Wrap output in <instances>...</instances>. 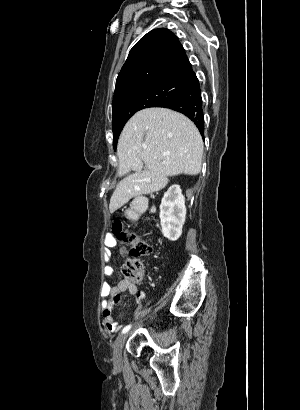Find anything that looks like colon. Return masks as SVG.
<instances>
[{"label": "colon", "instance_id": "5ec220e1", "mask_svg": "<svg viewBox=\"0 0 300 410\" xmlns=\"http://www.w3.org/2000/svg\"><path fill=\"white\" fill-rule=\"evenodd\" d=\"M115 230L119 240L129 247L131 257V260L122 267V273L128 279L138 278L142 272L139 258L148 255L151 252V246L144 235L123 230L120 222L116 223Z\"/></svg>", "mask_w": 300, "mask_h": 410}]
</instances>
